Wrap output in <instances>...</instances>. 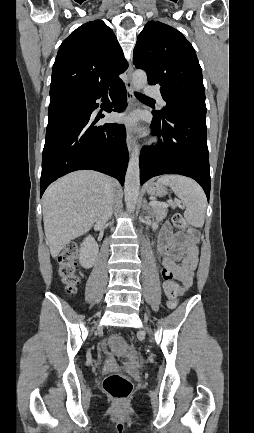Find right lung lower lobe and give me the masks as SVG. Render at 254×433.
Segmentation results:
<instances>
[{
    "instance_id": "1",
    "label": "right lung lower lobe",
    "mask_w": 254,
    "mask_h": 433,
    "mask_svg": "<svg viewBox=\"0 0 254 433\" xmlns=\"http://www.w3.org/2000/svg\"><path fill=\"white\" fill-rule=\"evenodd\" d=\"M112 98L105 109L122 112L126 107L123 82L108 89ZM108 90L98 93H63L52 96L42 156L40 197L49 184L76 170H96L117 178L124 184L128 164L124 125H96L104 115L92 114L96 99L107 97Z\"/></svg>"
}]
</instances>
